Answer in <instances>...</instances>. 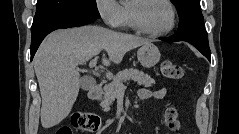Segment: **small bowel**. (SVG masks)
<instances>
[{
  "label": "small bowel",
  "instance_id": "c3829d8e",
  "mask_svg": "<svg viewBox=\"0 0 239 134\" xmlns=\"http://www.w3.org/2000/svg\"><path fill=\"white\" fill-rule=\"evenodd\" d=\"M166 93L167 91L165 88H161L157 90H150V89L144 88L138 92V97L141 100H147L150 98L164 99L166 96Z\"/></svg>",
  "mask_w": 239,
  "mask_h": 134
}]
</instances>
